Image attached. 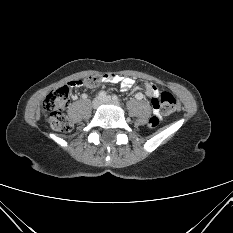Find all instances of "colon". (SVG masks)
<instances>
[{"mask_svg": "<svg viewBox=\"0 0 233 233\" xmlns=\"http://www.w3.org/2000/svg\"><path fill=\"white\" fill-rule=\"evenodd\" d=\"M101 75H91L83 78L85 87L94 88L100 83ZM70 102V88L67 84L52 90L43 101V112L50 127L56 131L68 132L73 128V123L64 114V110ZM159 111L165 115H171L177 109V100L170 92H163L152 100ZM159 124V118L153 116L148 121V126L154 128Z\"/></svg>", "mask_w": 233, "mask_h": 233, "instance_id": "1", "label": "colon"}]
</instances>
